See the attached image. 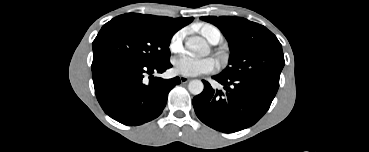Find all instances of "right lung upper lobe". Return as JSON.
Listing matches in <instances>:
<instances>
[{
  "mask_svg": "<svg viewBox=\"0 0 369 152\" xmlns=\"http://www.w3.org/2000/svg\"><path fill=\"white\" fill-rule=\"evenodd\" d=\"M127 14L128 16H130L131 18H133L138 22L147 24L149 26L161 27L174 32L188 25L194 19L193 17L171 18L153 15H143L139 13H127Z\"/></svg>",
  "mask_w": 369,
  "mask_h": 152,
  "instance_id": "right-lung-upper-lobe-1",
  "label": "right lung upper lobe"
}]
</instances>
